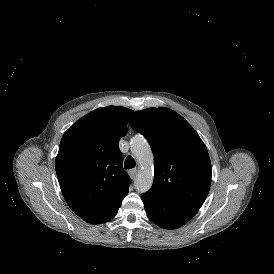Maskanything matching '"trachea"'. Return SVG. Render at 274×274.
<instances>
[{"label":"trachea","mask_w":274,"mask_h":274,"mask_svg":"<svg viewBox=\"0 0 274 274\" xmlns=\"http://www.w3.org/2000/svg\"><path fill=\"white\" fill-rule=\"evenodd\" d=\"M135 165H136V163H135V160L132 156H128L125 159V162H124L125 169H132V168L135 167Z\"/></svg>","instance_id":"trachea-1"}]
</instances>
